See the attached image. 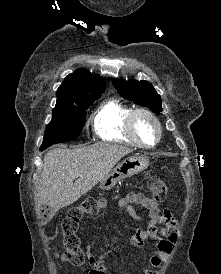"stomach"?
I'll list each match as a JSON object with an SVG mask.
<instances>
[{"mask_svg": "<svg viewBox=\"0 0 221 274\" xmlns=\"http://www.w3.org/2000/svg\"><path fill=\"white\" fill-rule=\"evenodd\" d=\"M149 166V159L144 156H129L117 164V166L100 182L102 190H110L117 183L130 178Z\"/></svg>", "mask_w": 221, "mask_h": 274, "instance_id": "stomach-1", "label": "stomach"}]
</instances>
